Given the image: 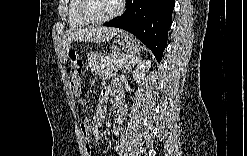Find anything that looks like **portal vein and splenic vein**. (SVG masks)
<instances>
[{"instance_id":"obj_1","label":"portal vein and splenic vein","mask_w":247,"mask_h":156,"mask_svg":"<svg viewBox=\"0 0 247 156\" xmlns=\"http://www.w3.org/2000/svg\"><path fill=\"white\" fill-rule=\"evenodd\" d=\"M118 62H126L125 58L119 59Z\"/></svg>"}]
</instances>
